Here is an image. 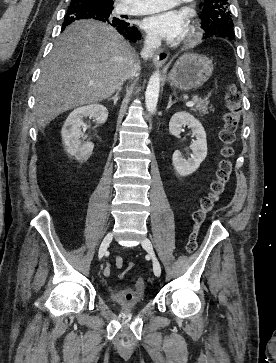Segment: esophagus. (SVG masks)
Masks as SVG:
<instances>
[{
    "mask_svg": "<svg viewBox=\"0 0 276 363\" xmlns=\"http://www.w3.org/2000/svg\"><path fill=\"white\" fill-rule=\"evenodd\" d=\"M169 57V52L165 49H160L156 52L154 58V65L155 67L159 68L165 64Z\"/></svg>",
    "mask_w": 276,
    "mask_h": 363,
    "instance_id": "34e87169",
    "label": "esophagus"
}]
</instances>
